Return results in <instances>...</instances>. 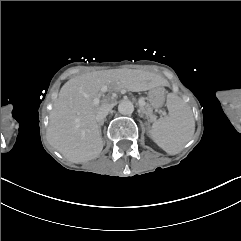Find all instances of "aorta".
I'll return each mask as SVG.
<instances>
[{
    "mask_svg": "<svg viewBox=\"0 0 241 241\" xmlns=\"http://www.w3.org/2000/svg\"><path fill=\"white\" fill-rule=\"evenodd\" d=\"M118 111L122 115H130L134 111V105L129 100L121 101L118 105Z\"/></svg>",
    "mask_w": 241,
    "mask_h": 241,
    "instance_id": "762f6f07",
    "label": "aorta"
}]
</instances>
